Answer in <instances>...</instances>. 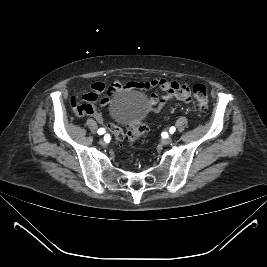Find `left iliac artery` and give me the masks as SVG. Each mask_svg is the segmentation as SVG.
<instances>
[{"label": "left iliac artery", "mask_w": 267, "mask_h": 267, "mask_svg": "<svg viewBox=\"0 0 267 267\" xmlns=\"http://www.w3.org/2000/svg\"><path fill=\"white\" fill-rule=\"evenodd\" d=\"M175 130H176L175 127H171L170 130H169V132L172 134V133L175 132Z\"/></svg>", "instance_id": "44dca946"}]
</instances>
